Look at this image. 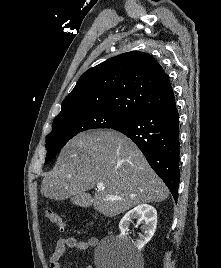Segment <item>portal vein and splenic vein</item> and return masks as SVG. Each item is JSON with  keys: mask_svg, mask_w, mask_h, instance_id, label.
Here are the masks:
<instances>
[{"mask_svg": "<svg viewBox=\"0 0 221 268\" xmlns=\"http://www.w3.org/2000/svg\"><path fill=\"white\" fill-rule=\"evenodd\" d=\"M97 188L99 189V190H102L103 189V185L102 184H100V185H97ZM107 199L108 200H118L119 198H116V197H107Z\"/></svg>", "mask_w": 221, "mask_h": 268, "instance_id": "obj_1", "label": "portal vein and splenic vein"}]
</instances>
